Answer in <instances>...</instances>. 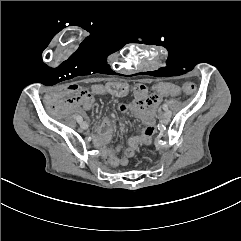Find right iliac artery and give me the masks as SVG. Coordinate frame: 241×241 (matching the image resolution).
<instances>
[{"label":"right iliac artery","instance_id":"82829eb1","mask_svg":"<svg viewBox=\"0 0 241 241\" xmlns=\"http://www.w3.org/2000/svg\"><path fill=\"white\" fill-rule=\"evenodd\" d=\"M76 119H77V122H78V123H81V122L83 121V119H82V117H81L80 115H78V116L76 117Z\"/></svg>","mask_w":241,"mask_h":241}]
</instances>
